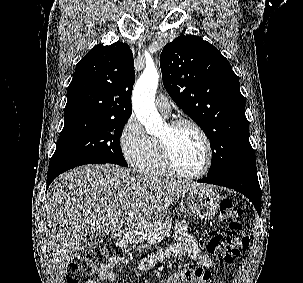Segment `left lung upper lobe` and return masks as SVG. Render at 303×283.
Instances as JSON below:
<instances>
[{
	"label": "left lung upper lobe",
	"mask_w": 303,
	"mask_h": 283,
	"mask_svg": "<svg viewBox=\"0 0 303 283\" xmlns=\"http://www.w3.org/2000/svg\"><path fill=\"white\" fill-rule=\"evenodd\" d=\"M160 66L170 97L210 140L212 163L207 176L256 163L245 100L228 60L209 42L182 35L163 48Z\"/></svg>",
	"instance_id": "obj_1"
}]
</instances>
